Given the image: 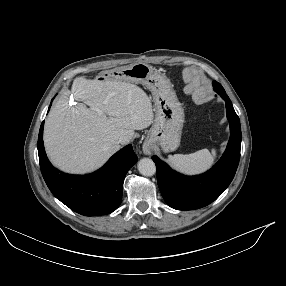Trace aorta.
Here are the masks:
<instances>
[{"label": "aorta", "mask_w": 286, "mask_h": 286, "mask_svg": "<svg viewBox=\"0 0 286 286\" xmlns=\"http://www.w3.org/2000/svg\"><path fill=\"white\" fill-rule=\"evenodd\" d=\"M138 171L143 176H153L156 173L155 163L149 158H142L138 162Z\"/></svg>", "instance_id": "obj_1"}]
</instances>
